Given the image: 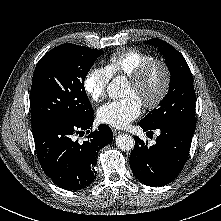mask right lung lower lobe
Returning a JSON list of instances; mask_svg holds the SVG:
<instances>
[{"label": "right lung lower lobe", "mask_w": 221, "mask_h": 221, "mask_svg": "<svg viewBox=\"0 0 221 221\" xmlns=\"http://www.w3.org/2000/svg\"><path fill=\"white\" fill-rule=\"evenodd\" d=\"M94 113L76 121L52 120L33 129L38 160L46 175L59 187L80 190L96 178L97 152L113 140L108 125L92 131ZM90 133L83 142L75 134Z\"/></svg>", "instance_id": "right-lung-lower-lobe-1"}]
</instances>
